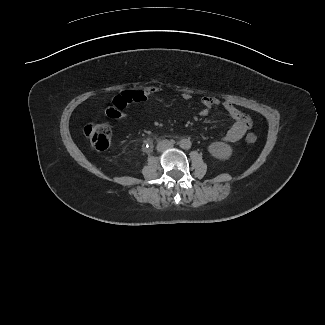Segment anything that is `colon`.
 Wrapping results in <instances>:
<instances>
[{
	"mask_svg": "<svg viewBox=\"0 0 325 325\" xmlns=\"http://www.w3.org/2000/svg\"><path fill=\"white\" fill-rule=\"evenodd\" d=\"M83 133L93 150L104 151L110 144L112 129L109 123L101 122L85 126ZM245 140L247 143H254L257 136L249 133L246 135Z\"/></svg>",
	"mask_w": 325,
	"mask_h": 325,
	"instance_id": "1",
	"label": "colon"
}]
</instances>
